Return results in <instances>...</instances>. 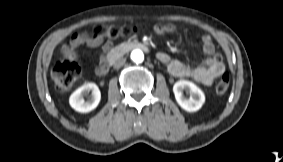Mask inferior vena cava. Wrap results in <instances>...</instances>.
Here are the masks:
<instances>
[{
  "mask_svg": "<svg viewBox=\"0 0 283 162\" xmlns=\"http://www.w3.org/2000/svg\"><path fill=\"white\" fill-rule=\"evenodd\" d=\"M126 60L124 58H120L114 63V68L118 69L125 64Z\"/></svg>",
  "mask_w": 283,
  "mask_h": 162,
  "instance_id": "inferior-vena-cava-1",
  "label": "inferior vena cava"
}]
</instances>
